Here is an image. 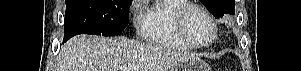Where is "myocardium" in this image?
Segmentation results:
<instances>
[{
	"label": "myocardium",
	"mask_w": 301,
	"mask_h": 71,
	"mask_svg": "<svg viewBox=\"0 0 301 71\" xmlns=\"http://www.w3.org/2000/svg\"><path fill=\"white\" fill-rule=\"evenodd\" d=\"M197 10L199 12H201L212 24L213 29H214V35L213 38L210 42L205 43V44H201L198 43L197 41H195L188 29V18L189 15L191 14L192 11ZM175 20H176V25H177V29L178 32L180 34V36L187 41L189 44H191L194 48H209L211 47L213 44H215V42L217 41L218 38V25L214 19V17L211 15V13H209L205 8H203L202 6L195 4V3H188L182 7H180L176 13H175Z\"/></svg>",
	"instance_id": "f54148a6"
}]
</instances>
